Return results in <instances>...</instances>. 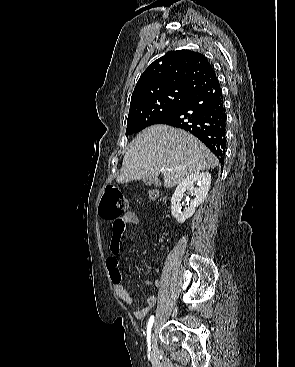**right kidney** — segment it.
I'll return each mask as SVG.
<instances>
[{
  "label": "right kidney",
  "mask_w": 295,
  "mask_h": 367,
  "mask_svg": "<svg viewBox=\"0 0 295 367\" xmlns=\"http://www.w3.org/2000/svg\"><path fill=\"white\" fill-rule=\"evenodd\" d=\"M195 184H197L198 188L194 187ZM210 184L211 174L208 172L192 173L179 183L171 198V213L178 223H184L186 219L190 218L194 214L195 208L206 198L210 189ZM186 191H190L194 196V199L191 201L190 206L182 211L181 200Z\"/></svg>",
  "instance_id": "ca27d5eb"
}]
</instances>
